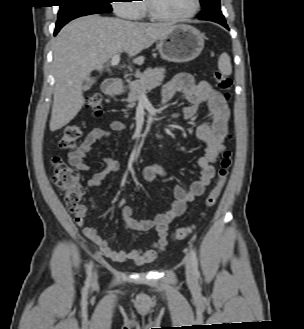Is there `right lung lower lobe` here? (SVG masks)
<instances>
[{"instance_id": "right-lung-lower-lobe-1", "label": "right lung lower lobe", "mask_w": 304, "mask_h": 329, "mask_svg": "<svg viewBox=\"0 0 304 329\" xmlns=\"http://www.w3.org/2000/svg\"><path fill=\"white\" fill-rule=\"evenodd\" d=\"M64 25H65V24H64ZM64 25L56 26L55 31H54V35H56V34L59 32V30H60Z\"/></svg>"}]
</instances>
